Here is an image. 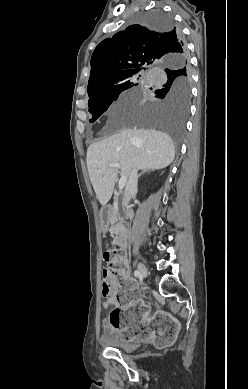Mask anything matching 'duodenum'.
I'll return each instance as SVG.
<instances>
[{"instance_id": "1", "label": "duodenum", "mask_w": 248, "mask_h": 389, "mask_svg": "<svg viewBox=\"0 0 248 389\" xmlns=\"http://www.w3.org/2000/svg\"><path fill=\"white\" fill-rule=\"evenodd\" d=\"M130 209H126V214L130 215ZM118 246L122 251H126L127 249V233L125 231L121 232L118 237Z\"/></svg>"}]
</instances>
